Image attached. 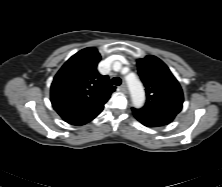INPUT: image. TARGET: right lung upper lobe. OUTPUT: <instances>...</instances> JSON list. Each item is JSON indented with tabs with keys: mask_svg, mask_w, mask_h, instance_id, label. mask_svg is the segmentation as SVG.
<instances>
[{
	"mask_svg": "<svg viewBox=\"0 0 222 187\" xmlns=\"http://www.w3.org/2000/svg\"><path fill=\"white\" fill-rule=\"evenodd\" d=\"M101 56L93 47L73 55L58 71L51 85V102L68 123L90 121L104 107L115 87L97 71Z\"/></svg>",
	"mask_w": 222,
	"mask_h": 187,
	"instance_id": "cb5924a9",
	"label": "right lung upper lobe"
}]
</instances>
